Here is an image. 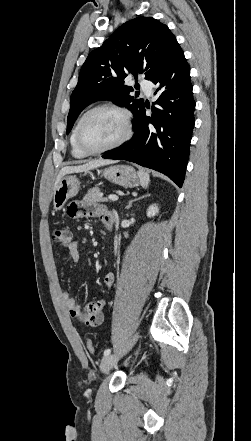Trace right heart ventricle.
I'll return each instance as SVG.
<instances>
[{
	"label": "right heart ventricle",
	"mask_w": 251,
	"mask_h": 441,
	"mask_svg": "<svg viewBox=\"0 0 251 441\" xmlns=\"http://www.w3.org/2000/svg\"><path fill=\"white\" fill-rule=\"evenodd\" d=\"M77 126V125H76ZM76 126L73 128L71 136H70V145H71V152L72 155L77 158V159H83L85 158L87 155L85 153H83L77 146L76 144V140H75V131H76Z\"/></svg>",
	"instance_id": "1"
}]
</instances>
